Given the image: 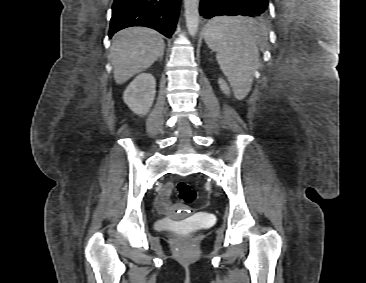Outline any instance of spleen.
Listing matches in <instances>:
<instances>
[{"mask_svg": "<svg viewBox=\"0 0 366 283\" xmlns=\"http://www.w3.org/2000/svg\"><path fill=\"white\" fill-rule=\"evenodd\" d=\"M260 35L254 21L226 16L212 19L205 27V41L216 52L220 69L238 99L245 98L251 90L259 62Z\"/></svg>", "mask_w": 366, "mask_h": 283, "instance_id": "obj_1", "label": "spleen"}]
</instances>
